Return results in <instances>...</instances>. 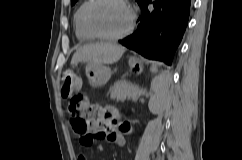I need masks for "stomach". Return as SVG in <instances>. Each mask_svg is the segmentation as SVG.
I'll list each match as a JSON object with an SVG mask.
<instances>
[{
  "mask_svg": "<svg viewBox=\"0 0 242 160\" xmlns=\"http://www.w3.org/2000/svg\"><path fill=\"white\" fill-rule=\"evenodd\" d=\"M129 66L131 69H134L137 74L143 71V65L137 58H130ZM111 74V69L104 64L87 63L86 65V76L90 86L93 88L105 85L111 78Z\"/></svg>",
  "mask_w": 242,
  "mask_h": 160,
  "instance_id": "0dacf381",
  "label": "stomach"
}]
</instances>
